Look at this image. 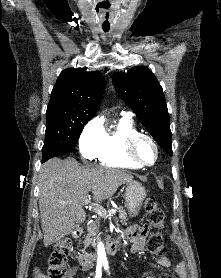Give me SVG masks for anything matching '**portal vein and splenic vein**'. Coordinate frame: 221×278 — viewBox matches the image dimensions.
<instances>
[{"instance_id":"18ae733b","label":"portal vein and splenic vein","mask_w":221,"mask_h":278,"mask_svg":"<svg viewBox=\"0 0 221 278\" xmlns=\"http://www.w3.org/2000/svg\"><path fill=\"white\" fill-rule=\"evenodd\" d=\"M84 203H85V204H88V203H89V200L86 199V200L84 201ZM92 205L94 206V211H95L98 215H100V216H102V215H107L106 210L103 209L101 206H99L97 203H93ZM115 213H116V210H115V209H110V210L108 211V215H109V216H110V215H113V214H115Z\"/></svg>"}]
</instances>
